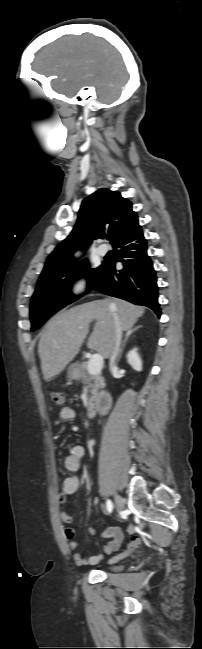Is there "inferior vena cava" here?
I'll list each match as a JSON object with an SVG mask.
<instances>
[{
    "mask_svg": "<svg viewBox=\"0 0 202 649\" xmlns=\"http://www.w3.org/2000/svg\"><path fill=\"white\" fill-rule=\"evenodd\" d=\"M114 325H115V341L110 355V362H109L110 369L115 368V362L120 351V345L122 339V329L119 324L118 318L115 315H114Z\"/></svg>",
    "mask_w": 202,
    "mask_h": 649,
    "instance_id": "obj_1",
    "label": "inferior vena cava"
}]
</instances>
